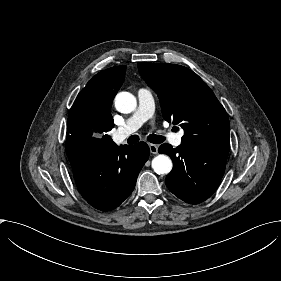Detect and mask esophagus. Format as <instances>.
I'll return each mask as SVG.
<instances>
[{
	"mask_svg": "<svg viewBox=\"0 0 281 281\" xmlns=\"http://www.w3.org/2000/svg\"><path fill=\"white\" fill-rule=\"evenodd\" d=\"M149 148H150V152L151 153H153V154H157L158 153L157 145L149 143Z\"/></svg>",
	"mask_w": 281,
	"mask_h": 281,
	"instance_id": "34e87169",
	"label": "esophagus"
}]
</instances>
